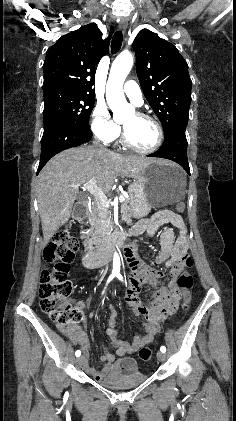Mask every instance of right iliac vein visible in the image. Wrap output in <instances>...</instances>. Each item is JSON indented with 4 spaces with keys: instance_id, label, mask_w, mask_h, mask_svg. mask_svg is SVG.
<instances>
[{
    "instance_id": "obj_1",
    "label": "right iliac vein",
    "mask_w": 236,
    "mask_h": 421,
    "mask_svg": "<svg viewBox=\"0 0 236 421\" xmlns=\"http://www.w3.org/2000/svg\"><path fill=\"white\" fill-rule=\"evenodd\" d=\"M84 362H85V356H80L76 359L77 366H82V364H84Z\"/></svg>"
}]
</instances>
